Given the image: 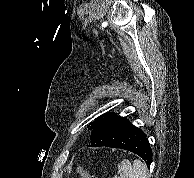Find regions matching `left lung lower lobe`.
<instances>
[{
	"label": "left lung lower lobe",
	"mask_w": 194,
	"mask_h": 178,
	"mask_svg": "<svg viewBox=\"0 0 194 178\" xmlns=\"http://www.w3.org/2000/svg\"><path fill=\"white\" fill-rule=\"evenodd\" d=\"M90 146L121 148L139 155L147 165L152 162V150L145 133L125 117L107 113L91 132Z\"/></svg>",
	"instance_id": "0a47b994"
}]
</instances>
